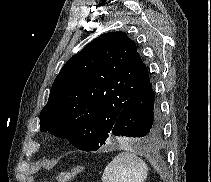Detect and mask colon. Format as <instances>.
<instances>
[{
  "label": "colon",
  "mask_w": 211,
  "mask_h": 182,
  "mask_svg": "<svg viewBox=\"0 0 211 182\" xmlns=\"http://www.w3.org/2000/svg\"><path fill=\"white\" fill-rule=\"evenodd\" d=\"M84 170V167L79 165L75 166L65 172H62L58 175L59 182H69L73 180L75 177H77L80 173H82Z\"/></svg>",
  "instance_id": "colon-1"
}]
</instances>
